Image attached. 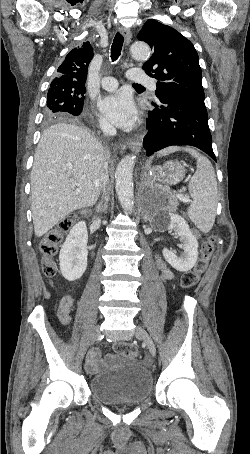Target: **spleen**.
Segmentation results:
<instances>
[{"mask_svg": "<svg viewBox=\"0 0 250 454\" xmlns=\"http://www.w3.org/2000/svg\"><path fill=\"white\" fill-rule=\"evenodd\" d=\"M184 150L197 159V169L189 181V192L193 202L187 210L189 218L203 232L208 233L215 222L216 208L218 203L217 181L211 162L195 149L185 147H168L158 153L165 156L170 153Z\"/></svg>", "mask_w": 250, "mask_h": 454, "instance_id": "1", "label": "spleen"}]
</instances>
